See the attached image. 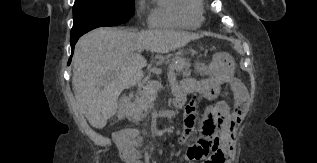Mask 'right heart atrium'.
<instances>
[{"label": "right heart atrium", "mask_w": 317, "mask_h": 163, "mask_svg": "<svg viewBox=\"0 0 317 163\" xmlns=\"http://www.w3.org/2000/svg\"><path fill=\"white\" fill-rule=\"evenodd\" d=\"M135 9L139 19H143L146 13V5L144 3V0H135Z\"/></svg>", "instance_id": "1"}]
</instances>
